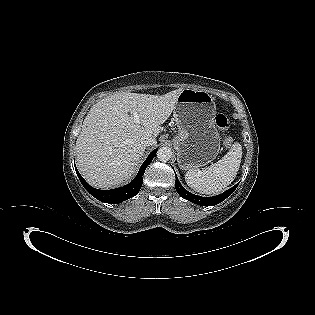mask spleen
Returning <instances> with one entry per match:
<instances>
[{"mask_svg":"<svg viewBox=\"0 0 315 315\" xmlns=\"http://www.w3.org/2000/svg\"><path fill=\"white\" fill-rule=\"evenodd\" d=\"M242 158V146L234 143L229 152L217 163L202 170L193 169L185 174V181L194 191L217 194L235 179Z\"/></svg>","mask_w":315,"mask_h":315,"instance_id":"1","label":"spleen"}]
</instances>
